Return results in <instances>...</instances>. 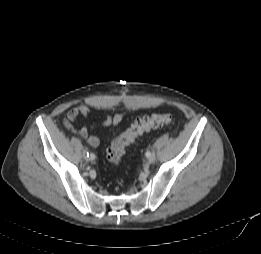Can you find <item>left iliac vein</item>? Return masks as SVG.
Masks as SVG:
<instances>
[{
	"mask_svg": "<svg viewBox=\"0 0 261 254\" xmlns=\"http://www.w3.org/2000/svg\"><path fill=\"white\" fill-rule=\"evenodd\" d=\"M155 160H156V157H155L154 154H152V155L148 158V162H149V163H154Z\"/></svg>",
	"mask_w": 261,
	"mask_h": 254,
	"instance_id": "4c4485c4",
	"label": "left iliac vein"
}]
</instances>
